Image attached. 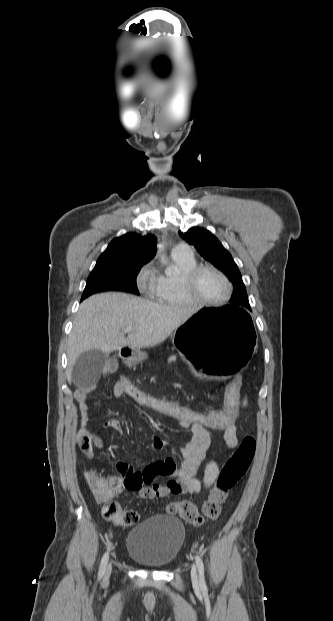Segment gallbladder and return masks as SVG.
Instances as JSON below:
<instances>
[{
    "label": "gallbladder",
    "instance_id": "bac80fb5",
    "mask_svg": "<svg viewBox=\"0 0 333 621\" xmlns=\"http://www.w3.org/2000/svg\"><path fill=\"white\" fill-rule=\"evenodd\" d=\"M107 360L108 354L99 350H90L80 355L72 370L74 385L78 387L95 385L100 379Z\"/></svg>",
    "mask_w": 333,
    "mask_h": 621
}]
</instances>
